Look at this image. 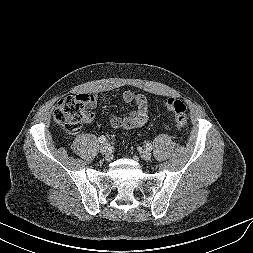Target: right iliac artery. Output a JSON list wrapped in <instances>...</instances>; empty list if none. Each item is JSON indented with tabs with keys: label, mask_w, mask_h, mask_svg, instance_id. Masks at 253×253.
Instances as JSON below:
<instances>
[{
	"label": "right iliac artery",
	"mask_w": 253,
	"mask_h": 253,
	"mask_svg": "<svg viewBox=\"0 0 253 253\" xmlns=\"http://www.w3.org/2000/svg\"><path fill=\"white\" fill-rule=\"evenodd\" d=\"M106 140H107V138H106V136H104V135H102V136H100V137L98 138V141H99L100 143H105Z\"/></svg>",
	"instance_id": "obj_1"
}]
</instances>
